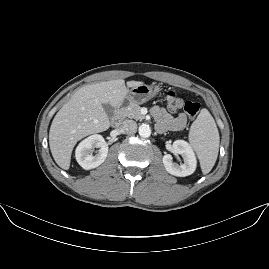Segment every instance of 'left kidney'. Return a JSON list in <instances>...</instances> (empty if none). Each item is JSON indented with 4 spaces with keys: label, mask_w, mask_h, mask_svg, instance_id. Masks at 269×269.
Segmentation results:
<instances>
[{
    "label": "left kidney",
    "mask_w": 269,
    "mask_h": 269,
    "mask_svg": "<svg viewBox=\"0 0 269 269\" xmlns=\"http://www.w3.org/2000/svg\"><path fill=\"white\" fill-rule=\"evenodd\" d=\"M173 149L176 153L183 156L184 164L179 165L173 161V157L166 154L163 157V163L166 170L175 176H188L193 174L197 169V156L192 145L185 140H175Z\"/></svg>",
    "instance_id": "1"
}]
</instances>
